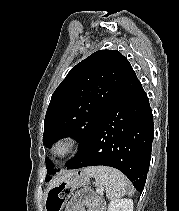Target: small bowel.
I'll return each mask as SVG.
<instances>
[{"label":"small bowel","instance_id":"small-bowel-1","mask_svg":"<svg viewBox=\"0 0 179 211\" xmlns=\"http://www.w3.org/2000/svg\"><path fill=\"white\" fill-rule=\"evenodd\" d=\"M89 204V208L85 205ZM103 202L90 189L75 193L65 211H103Z\"/></svg>","mask_w":179,"mask_h":211}]
</instances>
